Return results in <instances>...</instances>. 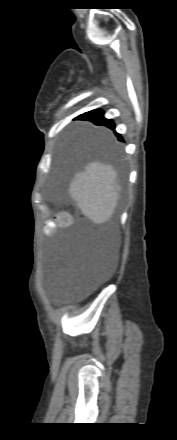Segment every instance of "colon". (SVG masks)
Wrapping results in <instances>:
<instances>
[{
    "instance_id": "5ec220e1",
    "label": "colon",
    "mask_w": 177,
    "mask_h": 440,
    "mask_svg": "<svg viewBox=\"0 0 177 440\" xmlns=\"http://www.w3.org/2000/svg\"><path fill=\"white\" fill-rule=\"evenodd\" d=\"M72 222V216L67 212H61L57 215L55 220L47 221L45 224V230L48 234H52L55 229L59 227H65Z\"/></svg>"
}]
</instances>
